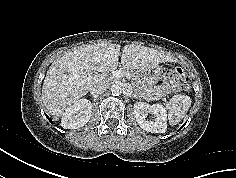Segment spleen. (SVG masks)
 I'll return each instance as SVG.
<instances>
[{"label": "spleen", "mask_w": 236, "mask_h": 178, "mask_svg": "<svg viewBox=\"0 0 236 178\" xmlns=\"http://www.w3.org/2000/svg\"><path fill=\"white\" fill-rule=\"evenodd\" d=\"M191 105V98L185 95H175L166 104L170 125H176L185 117Z\"/></svg>", "instance_id": "1"}]
</instances>
